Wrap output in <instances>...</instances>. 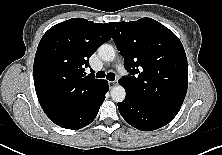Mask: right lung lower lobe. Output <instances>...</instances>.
Masks as SVG:
<instances>
[{
    "label": "right lung lower lobe",
    "mask_w": 222,
    "mask_h": 155,
    "mask_svg": "<svg viewBox=\"0 0 222 155\" xmlns=\"http://www.w3.org/2000/svg\"><path fill=\"white\" fill-rule=\"evenodd\" d=\"M108 89V82L103 80L95 89L64 104L53 106L47 100H40V104L46 115L58 126L80 129L95 119Z\"/></svg>",
    "instance_id": "obj_1"
}]
</instances>
